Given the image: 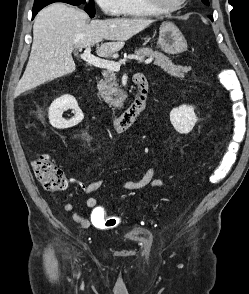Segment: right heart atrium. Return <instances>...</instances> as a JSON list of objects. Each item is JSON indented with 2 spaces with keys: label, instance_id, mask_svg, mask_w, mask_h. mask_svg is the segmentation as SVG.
I'll use <instances>...</instances> for the list:
<instances>
[{
  "label": "right heart atrium",
  "instance_id": "1",
  "mask_svg": "<svg viewBox=\"0 0 249 294\" xmlns=\"http://www.w3.org/2000/svg\"><path fill=\"white\" fill-rule=\"evenodd\" d=\"M100 9L107 15H118L120 0H95Z\"/></svg>",
  "mask_w": 249,
  "mask_h": 294
}]
</instances>
